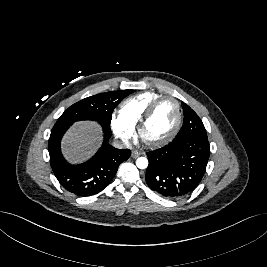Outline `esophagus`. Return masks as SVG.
<instances>
[{
	"label": "esophagus",
	"mask_w": 267,
	"mask_h": 267,
	"mask_svg": "<svg viewBox=\"0 0 267 267\" xmlns=\"http://www.w3.org/2000/svg\"><path fill=\"white\" fill-rule=\"evenodd\" d=\"M140 154H141V153H140L139 151H137V150H133L131 156H132V158L135 159V158L139 157Z\"/></svg>",
	"instance_id": "esophagus-1"
}]
</instances>
